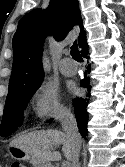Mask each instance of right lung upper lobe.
Instances as JSON below:
<instances>
[{
  "instance_id": "1",
  "label": "right lung upper lobe",
  "mask_w": 125,
  "mask_h": 167,
  "mask_svg": "<svg viewBox=\"0 0 125 167\" xmlns=\"http://www.w3.org/2000/svg\"><path fill=\"white\" fill-rule=\"evenodd\" d=\"M79 24V47L86 42L78 0H51L47 10L35 9L24 15L13 37V66L7 98L39 87L44 78L42 69L43 43L47 34L56 40Z\"/></svg>"
}]
</instances>
